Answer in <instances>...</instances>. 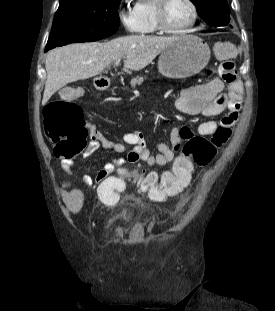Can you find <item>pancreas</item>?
Listing matches in <instances>:
<instances>
[{
	"label": "pancreas",
	"instance_id": "obj_1",
	"mask_svg": "<svg viewBox=\"0 0 275 311\" xmlns=\"http://www.w3.org/2000/svg\"><path fill=\"white\" fill-rule=\"evenodd\" d=\"M143 81H144L143 77H136L131 80L130 84L132 87H135L136 85H141Z\"/></svg>",
	"mask_w": 275,
	"mask_h": 311
}]
</instances>
